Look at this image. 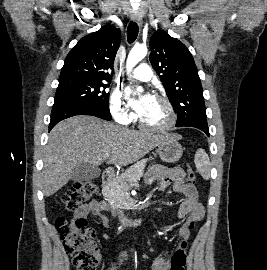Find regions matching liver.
<instances>
[{"label": "liver", "instance_id": "6515ba94", "mask_svg": "<svg viewBox=\"0 0 267 270\" xmlns=\"http://www.w3.org/2000/svg\"><path fill=\"white\" fill-rule=\"evenodd\" d=\"M173 134L130 130L93 116H74L58 123L45 146L43 194L49 197L72 178L82 163L126 166L144 157Z\"/></svg>", "mask_w": 267, "mask_h": 270}]
</instances>
